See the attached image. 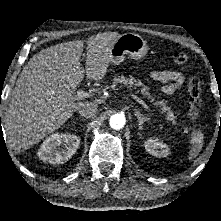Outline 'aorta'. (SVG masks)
<instances>
[{
	"label": "aorta",
	"mask_w": 221,
	"mask_h": 221,
	"mask_svg": "<svg viewBox=\"0 0 221 221\" xmlns=\"http://www.w3.org/2000/svg\"><path fill=\"white\" fill-rule=\"evenodd\" d=\"M125 116L121 113L114 114L110 117L109 124L112 129L120 130L125 125Z\"/></svg>",
	"instance_id": "aorta-1"
}]
</instances>
